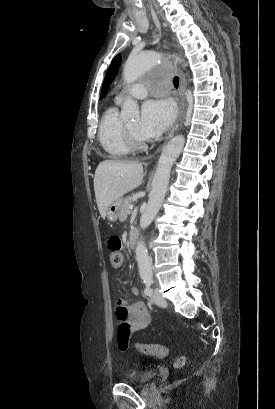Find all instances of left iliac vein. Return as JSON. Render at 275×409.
<instances>
[{"instance_id": "obj_1", "label": "left iliac vein", "mask_w": 275, "mask_h": 409, "mask_svg": "<svg viewBox=\"0 0 275 409\" xmlns=\"http://www.w3.org/2000/svg\"><path fill=\"white\" fill-rule=\"evenodd\" d=\"M151 301L158 305L159 307H165L166 306V300L165 298L162 297V295L159 293L157 289L154 290L152 296H151Z\"/></svg>"}]
</instances>
